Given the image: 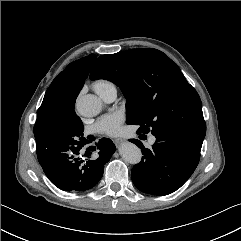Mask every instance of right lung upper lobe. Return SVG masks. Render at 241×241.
Wrapping results in <instances>:
<instances>
[{"mask_svg":"<svg viewBox=\"0 0 241 241\" xmlns=\"http://www.w3.org/2000/svg\"><path fill=\"white\" fill-rule=\"evenodd\" d=\"M95 60L96 55L90 54L70 63L53 80L45 93L42 104H49L60 109L74 108L75 100Z\"/></svg>","mask_w":241,"mask_h":241,"instance_id":"1","label":"right lung upper lobe"}]
</instances>
